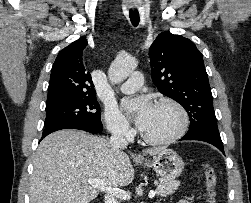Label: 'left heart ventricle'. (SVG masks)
Here are the masks:
<instances>
[{
	"label": "left heart ventricle",
	"instance_id": "left-heart-ventricle-1",
	"mask_svg": "<svg viewBox=\"0 0 251 203\" xmlns=\"http://www.w3.org/2000/svg\"><path fill=\"white\" fill-rule=\"evenodd\" d=\"M180 115L172 106H154L144 134L152 138H165L172 135L179 127Z\"/></svg>",
	"mask_w": 251,
	"mask_h": 203
}]
</instances>
